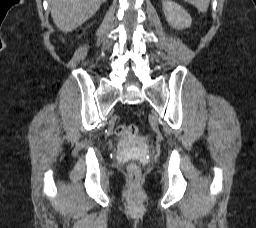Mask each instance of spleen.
Wrapping results in <instances>:
<instances>
[{"mask_svg":"<svg viewBox=\"0 0 256 228\" xmlns=\"http://www.w3.org/2000/svg\"><path fill=\"white\" fill-rule=\"evenodd\" d=\"M184 1L193 4L200 12H206L210 3V0H184Z\"/></svg>","mask_w":256,"mask_h":228,"instance_id":"3e777b00","label":"spleen"}]
</instances>
